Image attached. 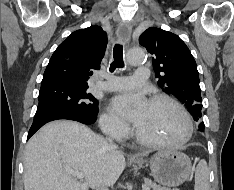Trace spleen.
<instances>
[{
	"mask_svg": "<svg viewBox=\"0 0 234 190\" xmlns=\"http://www.w3.org/2000/svg\"><path fill=\"white\" fill-rule=\"evenodd\" d=\"M194 190H210L209 171L205 160H200L195 170Z\"/></svg>",
	"mask_w": 234,
	"mask_h": 190,
	"instance_id": "1",
	"label": "spleen"
}]
</instances>
